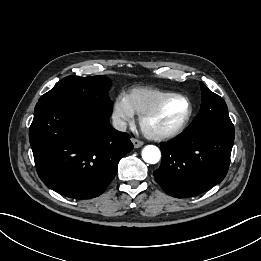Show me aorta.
<instances>
[{
	"label": "aorta",
	"instance_id": "1",
	"mask_svg": "<svg viewBox=\"0 0 261 261\" xmlns=\"http://www.w3.org/2000/svg\"><path fill=\"white\" fill-rule=\"evenodd\" d=\"M142 158L146 163L156 164L161 158V152L154 145H147L142 151Z\"/></svg>",
	"mask_w": 261,
	"mask_h": 261
}]
</instances>
